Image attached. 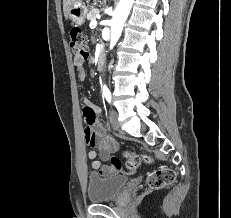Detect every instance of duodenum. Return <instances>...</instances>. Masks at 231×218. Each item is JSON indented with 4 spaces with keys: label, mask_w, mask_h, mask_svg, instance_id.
Listing matches in <instances>:
<instances>
[{
    "label": "duodenum",
    "mask_w": 231,
    "mask_h": 218,
    "mask_svg": "<svg viewBox=\"0 0 231 218\" xmlns=\"http://www.w3.org/2000/svg\"><path fill=\"white\" fill-rule=\"evenodd\" d=\"M96 64L97 66H101L103 64L104 61V53L102 50H100L96 56Z\"/></svg>",
    "instance_id": "410a0bca"
}]
</instances>
